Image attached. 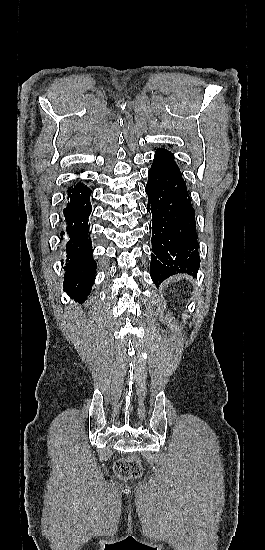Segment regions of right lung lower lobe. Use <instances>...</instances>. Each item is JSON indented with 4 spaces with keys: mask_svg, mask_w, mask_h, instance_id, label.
I'll use <instances>...</instances> for the list:
<instances>
[{
    "mask_svg": "<svg viewBox=\"0 0 265 550\" xmlns=\"http://www.w3.org/2000/svg\"><path fill=\"white\" fill-rule=\"evenodd\" d=\"M91 190L81 184L67 191V205L63 210L66 230L65 254L67 263L64 290L75 301L83 302L95 279L96 263L92 258L91 239L88 237V216L91 212ZM90 235V233H89Z\"/></svg>",
    "mask_w": 265,
    "mask_h": 550,
    "instance_id": "right-lung-lower-lobe-1",
    "label": "right lung lower lobe"
}]
</instances>
